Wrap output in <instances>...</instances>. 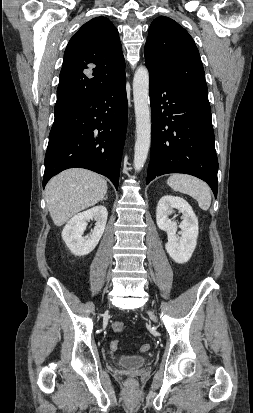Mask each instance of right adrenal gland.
Here are the masks:
<instances>
[{
    "mask_svg": "<svg viewBox=\"0 0 253 413\" xmlns=\"http://www.w3.org/2000/svg\"><path fill=\"white\" fill-rule=\"evenodd\" d=\"M103 200H107V196H106L105 198H103ZM103 200H102V201H103Z\"/></svg>",
    "mask_w": 253,
    "mask_h": 413,
    "instance_id": "obj_1",
    "label": "right adrenal gland"
}]
</instances>
